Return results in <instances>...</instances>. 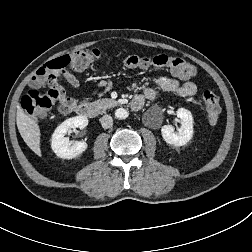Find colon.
I'll return each mask as SVG.
<instances>
[{"mask_svg": "<svg viewBox=\"0 0 252 252\" xmlns=\"http://www.w3.org/2000/svg\"><path fill=\"white\" fill-rule=\"evenodd\" d=\"M106 56V53L99 49H86L47 62L37 70L31 87L22 97L21 106L23 110L31 118L37 119L46 115L55 103H65V93L58 84L60 74L67 67L76 71L85 70L94 62ZM123 63L129 69L165 68L182 79H191L197 73L195 66L187 60L164 54L152 58L130 55L123 59ZM46 86L49 87V90L42 93L41 88ZM202 99L206 119L210 125H215L221 113L220 98L213 91L206 89L202 93Z\"/></svg>", "mask_w": 252, "mask_h": 252, "instance_id": "5ec220e1", "label": "colon"}]
</instances>
